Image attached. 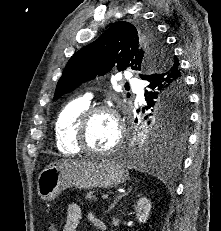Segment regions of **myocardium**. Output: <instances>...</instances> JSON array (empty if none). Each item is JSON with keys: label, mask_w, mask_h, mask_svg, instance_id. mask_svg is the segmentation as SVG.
Here are the masks:
<instances>
[{"label": "myocardium", "mask_w": 221, "mask_h": 231, "mask_svg": "<svg viewBox=\"0 0 221 231\" xmlns=\"http://www.w3.org/2000/svg\"><path fill=\"white\" fill-rule=\"evenodd\" d=\"M99 113H107L110 116H112L118 130V137L116 142L109 149L101 150V151L91 149L88 146V142H87V130H88L89 123L92 120V118ZM124 137H125V125L121 119L119 111L114 106H110V105L91 106L83 112V114L80 116L76 124L75 142L77 146L80 148V150L90 155L106 156L114 153L121 147L124 141Z\"/></svg>", "instance_id": "obj_1"}]
</instances>
